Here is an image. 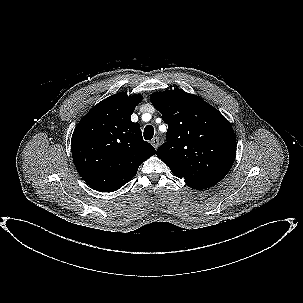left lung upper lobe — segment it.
Listing matches in <instances>:
<instances>
[{"label":"left lung upper lobe","instance_id":"left-lung-upper-lobe-1","mask_svg":"<svg viewBox=\"0 0 303 303\" xmlns=\"http://www.w3.org/2000/svg\"><path fill=\"white\" fill-rule=\"evenodd\" d=\"M168 124L157 156L185 181L222 180L231 169L236 136L229 121L196 95L182 90L150 97Z\"/></svg>","mask_w":303,"mask_h":303}]
</instances>
